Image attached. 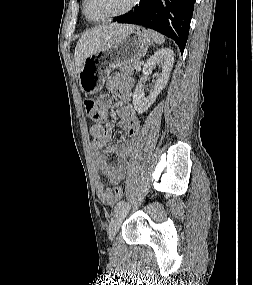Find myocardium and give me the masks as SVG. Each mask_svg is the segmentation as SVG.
I'll return each instance as SVG.
<instances>
[{"label": "myocardium", "mask_w": 253, "mask_h": 285, "mask_svg": "<svg viewBox=\"0 0 253 285\" xmlns=\"http://www.w3.org/2000/svg\"><path fill=\"white\" fill-rule=\"evenodd\" d=\"M138 1L139 0H131L129 5L125 9H123L117 13H114V14H111V15H108V16H105L102 18H98V19H93V18L89 17V15L87 14V11H86L87 0H83L82 10H83V14L85 15L87 20H89L90 22L99 23V22L108 21V20L117 18L119 16H122L124 14H127L132 9H134V7L137 5Z\"/></svg>", "instance_id": "myocardium-1"}]
</instances>
